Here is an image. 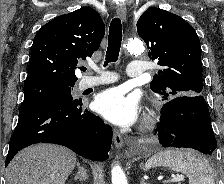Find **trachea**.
Returning a JSON list of instances; mask_svg holds the SVG:
<instances>
[{
    "label": "trachea",
    "instance_id": "1",
    "mask_svg": "<svg viewBox=\"0 0 224 184\" xmlns=\"http://www.w3.org/2000/svg\"><path fill=\"white\" fill-rule=\"evenodd\" d=\"M121 41H122L121 20L120 18H114L109 27L108 47L104 67L108 65L109 62H116L118 60ZM81 70L86 71V68L83 67Z\"/></svg>",
    "mask_w": 224,
    "mask_h": 184
}]
</instances>
